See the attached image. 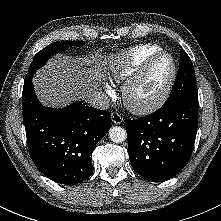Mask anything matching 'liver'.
I'll use <instances>...</instances> for the list:
<instances>
[{"label": "liver", "instance_id": "6515ba94", "mask_svg": "<svg viewBox=\"0 0 221 221\" xmlns=\"http://www.w3.org/2000/svg\"><path fill=\"white\" fill-rule=\"evenodd\" d=\"M98 68L84 67L66 55H57L33 79L38 98L44 105L60 107L73 100H85L101 84Z\"/></svg>", "mask_w": 221, "mask_h": 221}]
</instances>
